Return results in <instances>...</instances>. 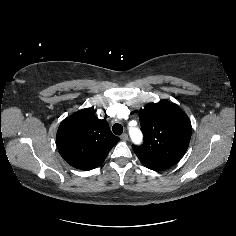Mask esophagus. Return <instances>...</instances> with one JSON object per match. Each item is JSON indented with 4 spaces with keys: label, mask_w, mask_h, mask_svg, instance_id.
Instances as JSON below:
<instances>
[{
    "label": "esophagus",
    "mask_w": 236,
    "mask_h": 236,
    "mask_svg": "<svg viewBox=\"0 0 236 236\" xmlns=\"http://www.w3.org/2000/svg\"><path fill=\"white\" fill-rule=\"evenodd\" d=\"M120 139H121L122 141H126V140H128V135H127L126 133H123V134L120 136Z\"/></svg>",
    "instance_id": "34e87169"
}]
</instances>
